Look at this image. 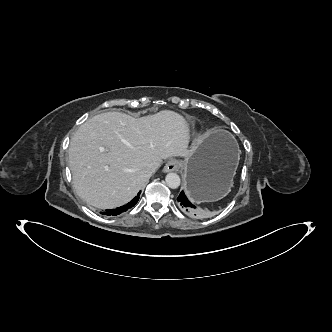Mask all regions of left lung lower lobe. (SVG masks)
<instances>
[{
  "label": "left lung lower lobe",
  "instance_id": "1",
  "mask_svg": "<svg viewBox=\"0 0 332 332\" xmlns=\"http://www.w3.org/2000/svg\"><path fill=\"white\" fill-rule=\"evenodd\" d=\"M177 200L179 202L180 207L183 209L185 213L196 218H202L204 216V213L202 211L195 210L196 207L188 200L183 191L180 193Z\"/></svg>",
  "mask_w": 332,
  "mask_h": 332
}]
</instances>
